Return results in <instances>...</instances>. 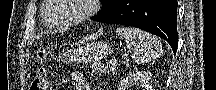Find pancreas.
I'll return each mask as SVG.
<instances>
[{"instance_id":"cf45deb5","label":"pancreas","mask_w":216,"mask_h":90,"mask_svg":"<svg viewBox=\"0 0 216 90\" xmlns=\"http://www.w3.org/2000/svg\"><path fill=\"white\" fill-rule=\"evenodd\" d=\"M92 70H94L96 74H106V72H108L107 66H102V64H93Z\"/></svg>"}]
</instances>
